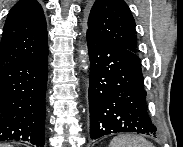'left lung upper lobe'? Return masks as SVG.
Here are the masks:
<instances>
[{"instance_id":"obj_1","label":"left lung upper lobe","mask_w":183,"mask_h":147,"mask_svg":"<svg viewBox=\"0 0 183 147\" xmlns=\"http://www.w3.org/2000/svg\"><path fill=\"white\" fill-rule=\"evenodd\" d=\"M87 27V33L137 52L135 21L124 0H96Z\"/></svg>"}]
</instances>
